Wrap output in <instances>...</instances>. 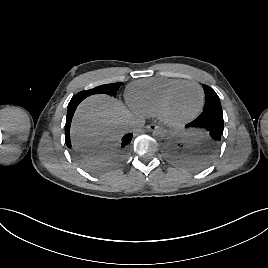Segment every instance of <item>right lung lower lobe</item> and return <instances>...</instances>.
I'll list each match as a JSON object with an SVG mask.
<instances>
[{"mask_svg": "<svg viewBox=\"0 0 268 268\" xmlns=\"http://www.w3.org/2000/svg\"><path fill=\"white\" fill-rule=\"evenodd\" d=\"M81 101H82V99H76V100L71 99V101L69 102L68 108H67V117H66V124H65V143L69 148L72 147L71 141H70L71 120H72L73 114L76 110V107L78 106V104ZM132 137H133L132 133H128V134L123 136V138L119 144L117 156L114 160L115 164L119 163L127 154L128 147H129V144L131 142ZM105 168H107V167H96V166L90 167V169L94 172H101Z\"/></svg>", "mask_w": 268, "mask_h": 268, "instance_id": "obj_1", "label": "right lung lower lobe"}]
</instances>
